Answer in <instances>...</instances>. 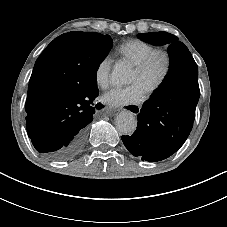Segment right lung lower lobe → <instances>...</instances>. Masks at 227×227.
Instances as JSON below:
<instances>
[{
  "label": "right lung lower lobe",
  "instance_id": "98d812e1",
  "mask_svg": "<svg viewBox=\"0 0 227 227\" xmlns=\"http://www.w3.org/2000/svg\"><path fill=\"white\" fill-rule=\"evenodd\" d=\"M97 96L98 89L82 95L60 93L46 99L36 114L27 115V132L36 150L51 160L75 157L84 146Z\"/></svg>",
  "mask_w": 227,
  "mask_h": 227
}]
</instances>
